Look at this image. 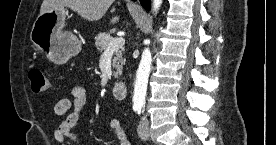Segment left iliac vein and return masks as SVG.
Instances as JSON below:
<instances>
[{"mask_svg":"<svg viewBox=\"0 0 276 145\" xmlns=\"http://www.w3.org/2000/svg\"><path fill=\"white\" fill-rule=\"evenodd\" d=\"M138 135L142 140H147L149 138V121L146 117H142L138 126Z\"/></svg>","mask_w":276,"mask_h":145,"instance_id":"obj_1","label":"left iliac vein"}]
</instances>
